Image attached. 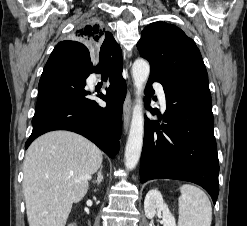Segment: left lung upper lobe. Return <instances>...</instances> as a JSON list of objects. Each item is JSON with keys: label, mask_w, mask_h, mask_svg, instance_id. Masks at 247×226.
Instances as JSON below:
<instances>
[{"label": "left lung upper lobe", "mask_w": 247, "mask_h": 226, "mask_svg": "<svg viewBox=\"0 0 247 226\" xmlns=\"http://www.w3.org/2000/svg\"><path fill=\"white\" fill-rule=\"evenodd\" d=\"M141 57L150 63V74L168 81L183 74L207 77V71L194 41L180 28L163 21L151 23L137 43Z\"/></svg>", "instance_id": "left-lung-upper-lobe-1"}]
</instances>
